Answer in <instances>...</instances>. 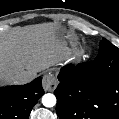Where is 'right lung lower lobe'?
Returning <instances> with one entry per match:
<instances>
[{"mask_svg":"<svg viewBox=\"0 0 119 119\" xmlns=\"http://www.w3.org/2000/svg\"><path fill=\"white\" fill-rule=\"evenodd\" d=\"M43 94L41 77L25 85L0 87V119H28Z\"/></svg>","mask_w":119,"mask_h":119,"instance_id":"right-lung-lower-lobe-1","label":"right lung lower lobe"}]
</instances>
